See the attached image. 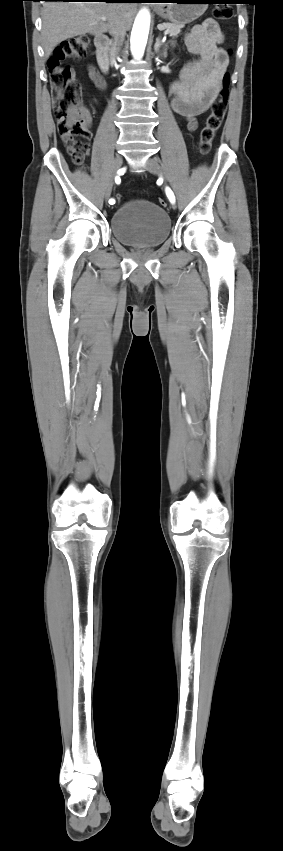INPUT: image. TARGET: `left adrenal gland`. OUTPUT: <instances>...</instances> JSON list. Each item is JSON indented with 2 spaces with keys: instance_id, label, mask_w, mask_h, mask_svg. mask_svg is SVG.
<instances>
[{
  "instance_id": "a2214340",
  "label": "left adrenal gland",
  "mask_w": 283,
  "mask_h": 851,
  "mask_svg": "<svg viewBox=\"0 0 283 851\" xmlns=\"http://www.w3.org/2000/svg\"><path fill=\"white\" fill-rule=\"evenodd\" d=\"M160 39H161L160 36L156 38V43L154 45V51H155V53L158 54L160 52V48L162 47L163 48L162 55H163L164 58H166L167 57L168 45H167V43L161 42Z\"/></svg>"
}]
</instances>
